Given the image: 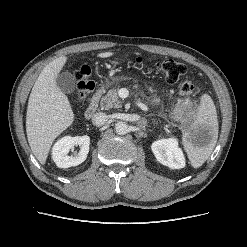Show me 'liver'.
<instances>
[{
  "mask_svg": "<svg viewBox=\"0 0 247 247\" xmlns=\"http://www.w3.org/2000/svg\"><path fill=\"white\" fill-rule=\"evenodd\" d=\"M113 55V52H102L97 57ZM67 59L66 56L59 57L44 67L28 101L27 138L33 154L41 164H45L56 137L72 125L75 117L67 96L56 84V77Z\"/></svg>",
  "mask_w": 247,
  "mask_h": 247,
  "instance_id": "liver-1",
  "label": "liver"
}]
</instances>
